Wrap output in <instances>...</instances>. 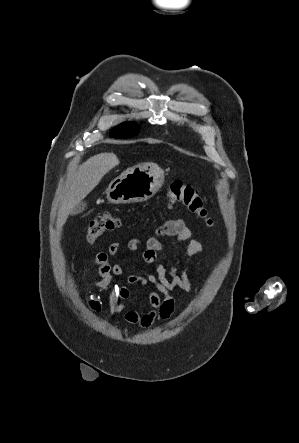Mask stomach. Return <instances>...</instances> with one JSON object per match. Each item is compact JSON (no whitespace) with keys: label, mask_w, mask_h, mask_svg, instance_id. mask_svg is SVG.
I'll return each instance as SVG.
<instances>
[{"label":"stomach","mask_w":299,"mask_h":443,"mask_svg":"<svg viewBox=\"0 0 299 443\" xmlns=\"http://www.w3.org/2000/svg\"><path fill=\"white\" fill-rule=\"evenodd\" d=\"M164 183L163 170L153 163L125 170L109 184L107 199L114 204H130L150 199Z\"/></svg>","instance_id":"stomach-1"}]
</instances>
